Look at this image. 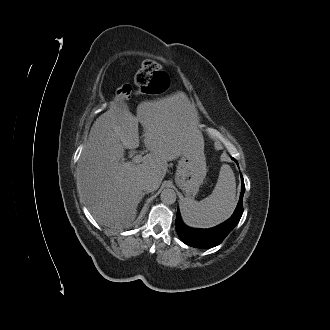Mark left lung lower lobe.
Segmentation results:
<instances>
[{
	"instance_id": "1",
	"label": "left lung lower lobe",
	"mask_w": 330,
	"mask_h": 330,
	"mask_svg": "<svg viewBox=\"0 0 330 330\" xmlns=\"http://www.w3.org/2000/svg\"><path fill=\"white\" fill-rule=\"evenodd\" d=\"M237 163V161L233 158ZM241 193L238 205L233 215L224 223L211 229H193L187 227L181 220L179 211L176 216V230L181 240L195 248H212L219 245L238 224L243 213L244 180L241 175Z\"/></svg>"
}]
</instances>
